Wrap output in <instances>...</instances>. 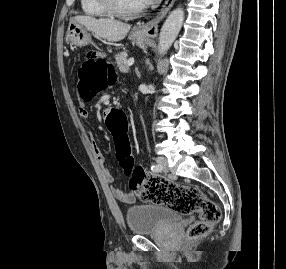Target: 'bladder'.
Instances as JSON below:
<instances>
[{
	"mask_svg": "<svg viewBox=\"0 0 286 269\" xmlns=\"http://www.w3.org/2000/svg\"><path fill=\"white\" fill-rule=\"evenodd\" d=\"M180 220L179 213L159 205H136L126 211L128 228L138 236L167 229Z\"/></svg>",
	"mask_w": 286,
	"mask_h": 269,
	"instance_id": "obj_1",
	"label": "bladder"
}]
</instances>
